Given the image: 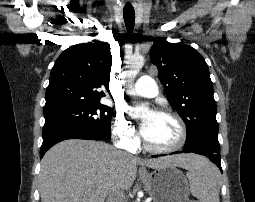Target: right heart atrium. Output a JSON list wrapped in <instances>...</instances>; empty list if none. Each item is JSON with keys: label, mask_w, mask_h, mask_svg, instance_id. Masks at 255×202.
Listing matches in <instances>:
<instances>
[{"label": "right heart atrium", "mask_w": 255, "mask_h": 202, "mask_svg": "<svg viewBox=\"0 0 255 202\" xmlns=\"http://www.w3.org/2000/svg\"><path fill=\"white\" fill-rule=\"evenodd\" d=\"M112 134L117 142L125 149L133 150L138 145L137 130L130 119H128L121 110L115 113L112 124Z\"/></svg>", "instance_id": "right-heart-atrium-1"}]
</instances>
